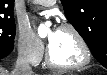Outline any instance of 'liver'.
I'll return each mask as SVG.
<instances>
[{"mask_svg":"<svg viewBox=\"0 0 107 75\" xmlns=\"http://www.w3.org/2000/svg\"><path fill=\"white\" fill-rule=\"evenodd\" d=\"M0 75H9V74H8L7 70H5L4 68H1L0 69Z\"/></svg>","mask_w":107,"mask_h":75,"instance_id":"liver-1","label":"liver"}]
</instances>
